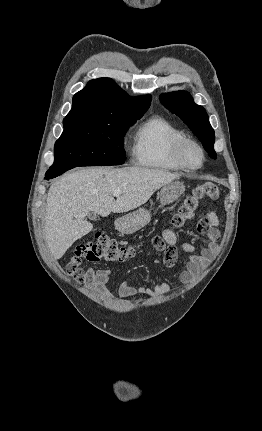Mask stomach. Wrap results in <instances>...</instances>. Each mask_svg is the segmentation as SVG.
<instances>
[{"mask_svg": "<svg viewBox=\"0 0 262 431\" xmlns=\"http://www.w3.org/2000/svg\"><path fill=\"white\" fill-rule=\"evenodd\" d=\"M185 186L180 181H172L164 186L159 193L161 206L170 204L184 193ZM151 220V212L145 208L129 213L118 218L115 222L116 229L123 234H133L146 226Z\"/></svg>", "mask_w": 262, "mask_h": 431, "instance_id": "obj_1", "label": "stomach"}]
</instances>
